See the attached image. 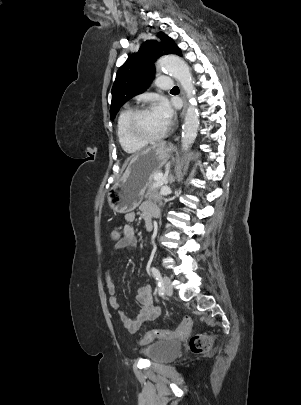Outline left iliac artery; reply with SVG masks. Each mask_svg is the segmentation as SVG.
Wrapping results in <instances>:
<instances>
[{
	"label": "left iliac artery",
	"mask_w": 301,
	"mask_h": 405,
	"mask_svg": "<svg viewBox=\"0 0 301 405\" xmlns=\"http://www.w3.org/2000/svg\"><path fill=\"white\" fill-rule=\"evenodd\" d=\"M151 273L154 276V278L156 279V281L158 282L159 295H163L164 288H163V282H162V277H161L160 271L158 270L157 267L154 266L151 268Z\"/></svg>",
	"instance_id": "obj_1"
}]
</instances>
